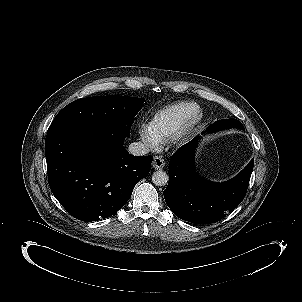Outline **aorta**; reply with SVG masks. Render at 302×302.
<instances>
[{
    "label": "aorta",
    "instance_id": "762f6f07",
    "mask_svg": "<svg viewBox=\"0 0 302 302\" xmlns=\"http://www.w3.org/2000/svg\"><path fill=\"white\" fill-rule=\"evenodd\" d=\"M169 176L165 171L158 170L152 174V182L156 186H165L168 184Z\"/></svg>",
    "mask_w": 302,
    "mask_h": 302
}]
</instances>
